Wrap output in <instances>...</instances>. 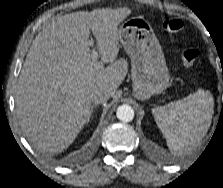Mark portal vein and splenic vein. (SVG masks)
<instances>
[{
    "label": "portal vein and splenic vein",
    "mask_w": 223,
    "mask_h": 188,
    "mask_svg": "<svg viewBox=\"0 0 223 188\" xmlns=\"http://www.w3.org/2000/svg\"><path fill=\"white\" fill-rule=\"evenodd\" d=\"M90 45L93 46V41L92 40L90 41ZM91 57H92L93 60H97L98 52L96 51V49H93L91 51Z\"/></svg>",
    "instance_id": "portal-vein-and-splenic-vein-1"
}]
</instances>
